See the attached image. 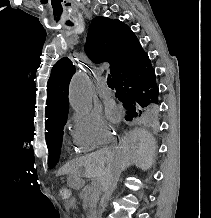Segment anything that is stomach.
<instances>
[{
    "label": "stomach",
    "instance_id": "stomach-1",
    "mask_svg": "<svg viewBox=\"0 0 211 218\" xmlns=\"http://www.w3.org/2000/svg\"><path fill=\"white\" fill-rule=\"evenodd\" d=\"M68 184L74 189H80L84 186V181L77 174H70L68 177Z\"/></svg>",
    "mask_w": 211,
    "mask_h": 218
}]
</instances>
